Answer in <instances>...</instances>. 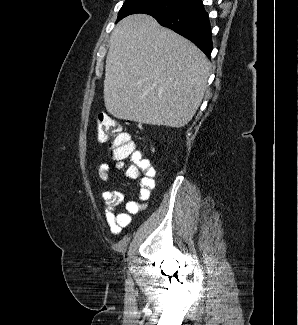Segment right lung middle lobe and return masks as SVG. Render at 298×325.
<instances>
[{
	"mask_svg": "<svg viewBox=\"0 0 298 325\" xmlns=\"http://www.w3.org/2000/svg\"><path fill=\"white\" fill-rule=\"evenodd\" d=\"M194 0H126L119 11L117 22L135 13H145L151 16L170 13L184 6H187Z\"/></svg>",
	"mask_w": 298,
	"mask_h": 325,
	"instance_id": "dd1d6c3e",
	"label": "right lung middle lobe"
}]
</instances>
